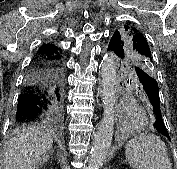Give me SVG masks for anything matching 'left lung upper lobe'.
Instances as JSON below:
<instances>
[{
    "mask_svg": "<svg viewBox=\"0 0 177 169\" xmlns=\"http://www.w3.org/2000/svg\"><path fill=\"white\" fill-rule=\"evenodd\" d=\"M110 44L114 47L120 60L131 61L143 68L153 78L155 77L154 61L149 44L145 36L135 26L130 24L120 25L112 35Z\"/></svg>",
    "mask_w": 177,
    "mask_h": 169,
    "instance_id": "left-lung-upper-lobe-1",
    "label": "left lung upper lobe"
}]
</instances>
